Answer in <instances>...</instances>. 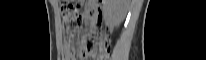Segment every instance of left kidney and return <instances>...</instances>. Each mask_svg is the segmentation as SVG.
<instances>
[{
	"label": "left kidney",
	"mask_w": 206,
	"mask_h": 60,
	"mask_svg": "<svg viewBox=\"0 0 206 60\" xmlns=\"http://www.w3.org/2000/svg\"><path fill=\"white\" fill-rule=\"evenodd\" d=\"M128 0H105V22L109 26L119 25L125 18L128 10Z\"/></svg>",
	"instance_id": "1"
}]
</instances>
